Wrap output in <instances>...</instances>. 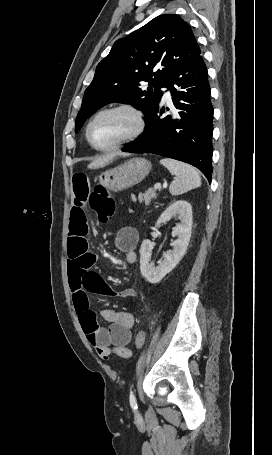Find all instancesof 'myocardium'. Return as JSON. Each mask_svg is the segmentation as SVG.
<instances>
[{"instance_id":"f54148a6","label":"myocardium","mask_w":272,"mask_h":455,"mask_svg":"<svg viewBox=\"0 0 272 455\" xmlns=\"http://www.w3.org/2000/svg\"><path fill=\"white\" fill-rule=\"evenodd\" d=\"M111 112H126V113L130 114L134 120V128L128 135H126L125 137H123L122 139H120L119 141L114 143L113 145L108 146V147H97L92 142V139H91V135H90L91 128H92L93 124L95 123V121L100 116H102L106 113H111ZM145 127H146V121H145L144 113L137 106H135L131 103H126V102L115 103V104H111V105H108V106L100 109L93 115V117L90 119V121L88 122L87 127H86V139H87L89 145L96 151L111 152V151L117 150V149L137 140L143 134Z\"/></svg>"}]
</instances>
